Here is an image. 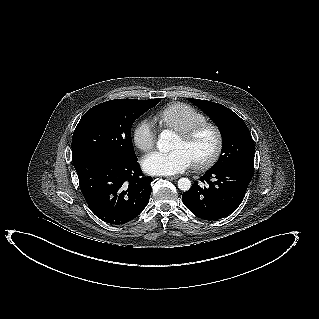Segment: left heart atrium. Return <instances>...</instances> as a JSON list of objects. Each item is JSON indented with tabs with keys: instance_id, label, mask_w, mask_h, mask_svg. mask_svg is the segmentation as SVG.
Instances as JSON below:
<instances>
[{
	"instance_id": "39dd6f15",
	"label": "left heart atrium",
	"mask_w": 319,
	"mask_h": 319,
	"mask_svg": "<svg viewBox=\"0 0 319 319\" xmlns=\"http://www.w3.org/2000/svg\"><path fill=\"white\" fill-rule=\"evenodd\" d=\"M192 163L190 156L181 148L170 152L154 151L142 160L145 172L151 175H173L187 169Z\"/></svg>"
}]
</instances>
